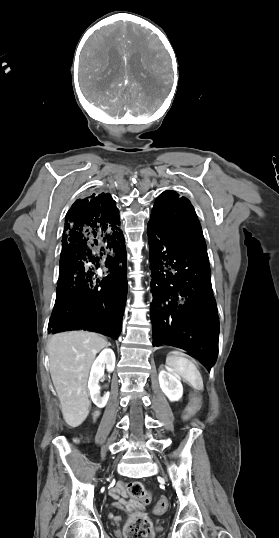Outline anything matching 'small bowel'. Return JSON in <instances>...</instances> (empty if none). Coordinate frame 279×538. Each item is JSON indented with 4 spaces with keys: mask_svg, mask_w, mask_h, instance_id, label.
<instances>
[{
    "mask_svg": "<svg viewBox=\"0 0 279 538\" xmlns=\"http://www.w3.org/2000/svg\"><path fill=\"white\" fill-rule=\"evenodd\" d=\"M110 496L115 499L113 507L117 508L120 513L129 515L132 511L140 509L141 504L134 498L127 500L128 492L123 483H118L110 490ZM108 518L119 522L121 520V514L108 513Z\"/></svg>",
    "mask_w": 279,
    "mask_h": 538,
    "instance_id": "small-bowel-1",
    "label": "small bowel"
}]
</instances>
